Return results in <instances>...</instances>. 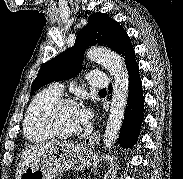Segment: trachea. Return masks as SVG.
I'll use <instances>...</instances> for the list:
<instances>
[{
	"instance_id": "trachea-1",
	"label": "trachea",
	"mask_w": 183,
	"mask_h": 179,
	"mask_svg": "<svg viewBox=\"0 0 183 179\" xmlns=\"http://www.w3.org/2000/svg\"><path fill=\"white\" fill-rule=\"evenodd\" d=\"M100 91H106V89H102V90H100Z\"/></svg>"
}]
</instances>
